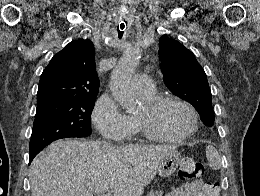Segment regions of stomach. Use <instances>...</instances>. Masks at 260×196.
<instances>
[{
	"mask_svg": "<svg viewBox=\"0 0 260 196\" xmlns=\"http://www.w3.org/2000/svg\"><path fill=\"white\" fill-rule=\"evenodd\" d=\"M179 162L180 154H178V152H171V154L162 158L157 170L159 176H161V178H169V176H172L176 168H178Z\"/></svg>",
	"mask_w": 260,
	"mask_h": 196,
	"instance_id": "stomach-1",
	"label": "stomach"
}]
</instances>
